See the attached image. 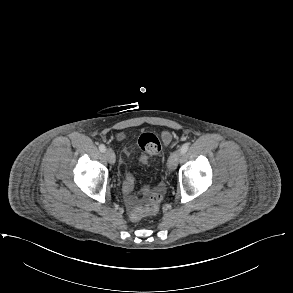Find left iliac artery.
I'll list each match as a JSON object with an SVG mask.
<instances>
[{"label":"left iliac artery","mask_w":293,"mask_h":293,"mask_svg":"<svg viewBox=\"0 0 293 293\" xmlns=\"http://www.w3.org/2000/svg\"><path fill=\"white\" fill-rule=\"evenodd\" d=\"M188 148H189L188 143H184V144L180 147V152H181L182 154H184V153L187 152Z\"/></svg>","instance_id":"obj_1"}]
</instances>
